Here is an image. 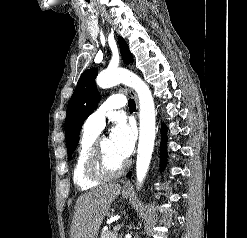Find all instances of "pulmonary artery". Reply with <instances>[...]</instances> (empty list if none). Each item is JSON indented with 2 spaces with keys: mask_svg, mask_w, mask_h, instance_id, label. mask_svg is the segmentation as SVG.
<instances>
[{
  "mask_svg": "<svg viewBox=\"0 0 247 238\" xmlns=\"http://www.w3.org/2000/svg\"><path fill=\"white\" fill-rule=\"evenodd\" d=\"M126 105V98L122 94L110 96L96 111L88 116L84 128L100 132L105 125V118L109 111Z\"/></svg>",
  "mask_w": 247,
  "mask_h": 238,
  "instance_id": "1",
  "label": "pulmonary artery"
}]
</instances>
